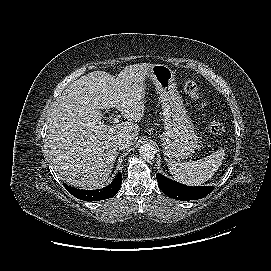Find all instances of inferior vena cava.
I'll return each mask as SVG.
<instances>
[{"label": "inferior vena cava", "mask_w": 271, "mask_h": 271, "mask_svg": "<svg viewBox=\"0 0 271 271\" xmlns=\"http://www.w3.org/2000/svg\"><path fill=\"white\" fill-rule=\"evenodd\" d=\"M114 143L120 149L128 148L132 145V139L129 135L122 134L115 138Z\"/></svg>", "instance_id": "1"}]
</instances>
